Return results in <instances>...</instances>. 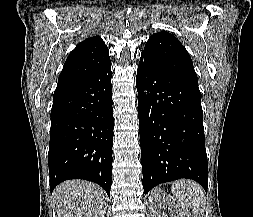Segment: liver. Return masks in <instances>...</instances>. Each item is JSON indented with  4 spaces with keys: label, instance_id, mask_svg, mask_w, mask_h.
Listing matches in <instances>:
<instances>
[{
    "label": "liver",
    "instance_id": "obj_1",
    "mask_svg": "<svg viewBox=\"0 0 253 217\" xmlns=\"http://www.w3.org/2000/svg\"><path fill=\"white\" fill-rule=\"evenodd\" d=\"M57 217H105L106 194L98 185L84 180L59 184L54 192Z\"/></svg>",
    "mask_w": 253,
    "mask_h": 217
}]
</instances>
